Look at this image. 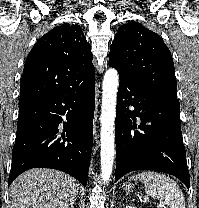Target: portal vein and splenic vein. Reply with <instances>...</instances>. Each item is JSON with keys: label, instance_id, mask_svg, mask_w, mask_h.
Instances as JSON below:
<instances>
[{"label": "portal vein and splenic vein", "instance_id": "1", "mask_svg": "<svg viewBox=\"0 0 199 208\" xmlns=\"http://www.w3.org/2000/svg\"><path fill=\"white\" fill-rule=\"evenodd\" d=\"M158 207H159V208H162V207H164V204L160 202V203L158 204Z\"/></svg>", "mask_w": 199, "mask_h": 208}]
</instances>
